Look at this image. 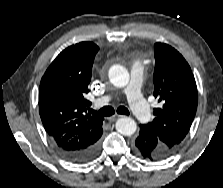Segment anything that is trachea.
<instances>
[{
	"label": "trachea",
	"instance_id": "3493384b",
	"mask_svg": "<svg viewBox=\"0 0 223 188\" xmlns=\"http://www.w3.org/2000/svg\"><path fill=\"white\" fill-rule=\"evenodd\" d=\"M91 113H94L99 116L107 117V116L113 115L115 113V110L111 106H105V107L101 108L99 111L91 110ZM117 113L122 114V115H129V110L124 106H120L117 108Z\"/></svg>",
	"mask_w": 223,
	"mask_h": 188
}]
</instances>
